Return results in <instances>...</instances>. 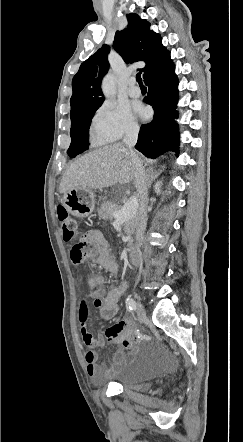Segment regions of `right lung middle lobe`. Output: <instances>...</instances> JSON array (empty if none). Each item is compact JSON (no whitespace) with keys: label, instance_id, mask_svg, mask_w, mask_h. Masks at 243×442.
Here are the masks:
<instances>
[{"label":"right lung middle lobe","instance_id":"1","mask_svg":"<svg viewBox=\"0 0 243 442\" xmlns=\"http://www.w3.org/2000/svg\"><path fill=\"white\" fill-rule=\"evenodd\" d=\"M96 110L97 108L84 112L71 120V144L68 149V155L70 157H75L88 149L89 138L87 136V132L91 124V119Z\"/></svg>","mask_w":243,"mask_h":442}]
</instances>
